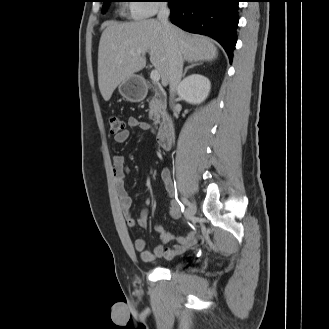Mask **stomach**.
Instances as JSON below:
<instances>
[{
  "instance_id": "stomach-1",
  "label": "stomach",
  "mask_w": 329,
  "mask_h": 329,
  "mask_svg": "<svg viewBox=\"0 0 329 329\" xmlns=\"http://www.w3.org/2000/svg\"><path fill=\"white\" fill-rule=\"evenodd\" d=\"M120 94L129 102L137 103L144 100L147 95V85L139 75H132L118 87Z\"/></svg>"
}]
</instances>
